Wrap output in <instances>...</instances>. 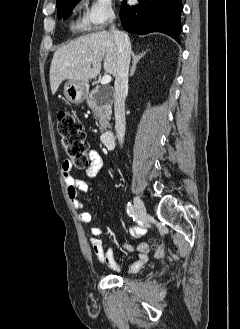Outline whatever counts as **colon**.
<instances>
[{
	"mask_svg": "<svg viewBox=\"0 0 240 329\" xmlns=\"http://www.w3.org/2000/svg\"><path fill=\"white\" fill-rule=\"evenodd\" d=\"M58 131L62 138L67 157L77 168H85L89 163L86 135L78 118L67 111L58 113ZM164 255L163 246L156 248V256Z\"/></svg>",
	"mask_w": 240,
	"mask_h": 329,
	"instance_id": "1",
	"label": "colon"
}]
</instances>
